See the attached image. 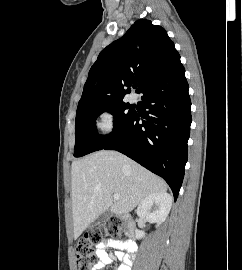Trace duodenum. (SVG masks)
<instances>
[{
  "label": "duodenum",
  "instance_id": "410a0bca",
  "mask_svg": "<svg viewBox=\"0 0 242 270\" xmlns=\"http://www.w3.org/2000/svg\"><path fill=\"white\" fill-rule=\"evenodd\" d=\"M122 219L129 223L130 234H131L132 238H134L135 237L134 224L131 222V218L128 215H123Z\"/></svg>",
  "mask_w": 242,
  "mask_h": 270
}]
</instances>
